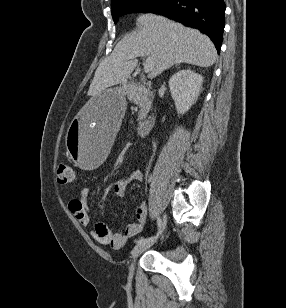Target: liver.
Instances as JSON below:
<instances>
[{"label":"liver","instance_id":"6515ba94","mask_svg":"<svg viewBox=\"0 0 286 308\" xmlns=\"http://www.w3.org/2000/svg\"><path fill=\"white\" fill-rule=\"evenodd\" d=\"M137 27V31L118 42L112 53L100 62L88 90L93 99L108 87L127 83L138 63L128 59L135 51H144L154 57L151 77L177 63L210 67L216 61L214 44L198 30L157 15L140 16Z\"/></svg>","mask_w":286,"mask_h":308}]
</instances>
